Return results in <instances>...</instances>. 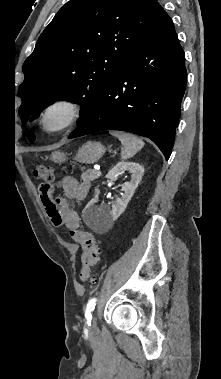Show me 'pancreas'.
<instances>
[{
    "label": "pancreas",
    "mask_w": 221,
    "mask_h": 379,
    "mask_svg": "<svg viewBox=\"0 0 221 379\" xmlns=\"http://www.w3.org/2000/svg\"><path fill=\"white\" fill-rule=\"evenodd\" d=\"M101 176V173L96 170L88 169L82 173L81 179L84 181H93Z\"/></svg>",
    "instance_id": "obj_1"
}]
</instances>
